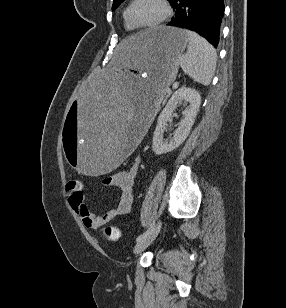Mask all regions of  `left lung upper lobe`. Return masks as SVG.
Returning a JSON list of instances; mask_svg holds the SVG:
<instances>
[{
	"mask_svg": "<svg viewBox=\"0 0 286 308\" xmlns=\"http://www.w3.org/2000/svg\"><path fill=\"white\" fill-rule=\"evenodd\" d=\"M124 0H114L113 1V6L112 9L114 10L121 2H123ZM168 1H172V0H168Z\"/></svg>",
	"mask_w": 286,
	"mask_h": 308,
	"instance_id": "5c2ea615",
	"label": "left lung upper lobe"
}]
</instances>
